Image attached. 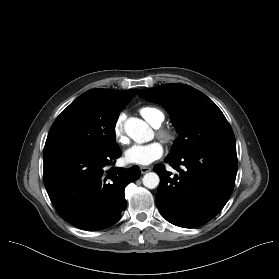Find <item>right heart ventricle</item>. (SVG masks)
<instances>
[{"instance_id": "e07e8e85", "label": "right heart ventricle", "mask_w": 279, "mask_h": 279, "mask_svg": "<svg viewBox=\"0 0 279 279\" xmlns=\"http://www.w3.org/2000/svg\"><path fill=\"white\" fill-rule=\"evenodd\" d=\"M141 116L153 126H159L163 119V113L157 108L151 106H144L139 110Z\"/></svg>"}]
</instances>
